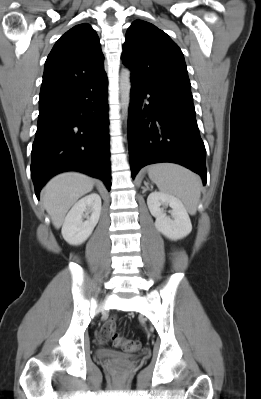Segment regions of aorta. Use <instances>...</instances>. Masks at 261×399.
Segmentation results:
<instances>
[{"instance_id": "aorta-1", "label": "aorta", "mask_w": 261, "mask_h": 399, "mask_svg": "<svg viewBox=\"0 0 261 399\" xmlns=\"http://www.w3.org/2000/svg\"><path fill=\"white\" fill-rule=\"evenodd\" d=\"M131 73L129 69L124 68L120 74V98H121V108L122 114L127 118L129 104H130V90H131V82H130Z\"/></svg>"}]
</instances>
